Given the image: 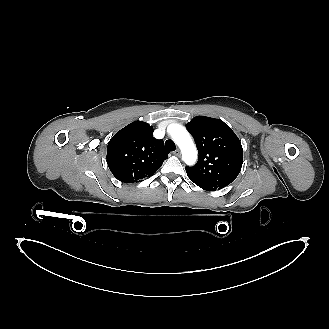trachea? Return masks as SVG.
Returning a JSON list of instances; mask_svg holds the SVG:
<instances>
[{
	"mask_svg": "<svg viewBox=\"0 0 329 329\" xmlns=\"http://www.w3.org/2000/svg\"><path fill=\"white\" fill-rule=\"evenodd\" d=\"M165 146L169 151H174L176 149V146L172 140H166Z\"/></svg>",
	"mask_w": 329,
	"mask_h": 329,
	"instance_id": "3493384b",
	"label": "trachea"
}]
</instances>
